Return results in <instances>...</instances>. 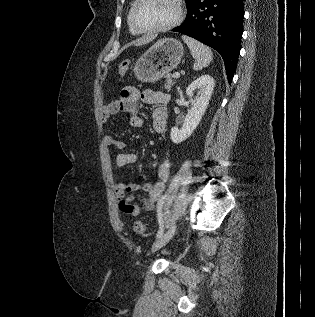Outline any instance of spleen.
<instances>
[{
	"instance_id": "1",
	"label": "spleen",
	"mask_w": 315,
	"mask_h": 317,
	"mask_svg": "<svg viewBox=\"0 0 315 317\" xmlns=\"http://www.w3.org/2000/svg\"><path fill=\"white\" fill-rule=\"evenodd\" d=\"M182 39L189 47L193 58L197 61L193 65V69L199 71L207 67L213 58L211 49L191 37L182 35Z\"/></svg>"
}]
</instances>
